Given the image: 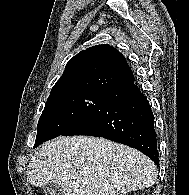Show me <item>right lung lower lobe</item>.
<instances>
[{"label": "right lung lower lobe", "instance_id": "98d812e1", "mask_svg": "<svg viewBox=\"0 0 189 195\" xmlns=\"http://www.w3.org/2000/svg\"><path fill=\"white\" fill-rule=\"evenodd\" d=\"M62 135L103 137L133 147L159 165L154 115L134 82L109 93L85 119Z\"/></svg>", "mask_w": 189, "mask_h": 195}]
</instances>
